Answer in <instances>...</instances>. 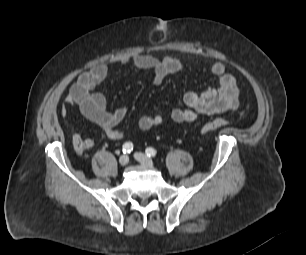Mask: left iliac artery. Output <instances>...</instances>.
<instances>
[{"mask_svg":"<svg viewBox=\"0 0 306 255\" xmlns=\"http://www.w3.org/2000/svg\"><path fill=\"white\" fill-rule=\"evenodd\" d=\"M145 152L148 157H155L157 153L156 150L152 147L146 148Z\"/></svg>","mask_w":306,"mask_h":255,"instance_id":"1","label":"left iliac artery"}]
</instances>
